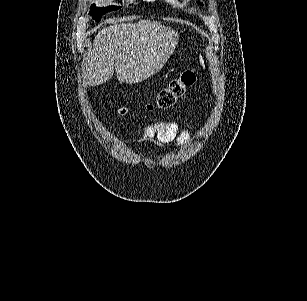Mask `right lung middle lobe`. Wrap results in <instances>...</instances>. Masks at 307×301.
<instances>
[{"label": "right lung middle lobe", "instance_id": "1", "mask_svg": "<svg viewBox=\"0 0 307 301\" xmlns=\"http://www.w3.org/2000/svg\"><path fill=\"white\" fill-rule=\"evenodd\" d=\"M119 7L116 6H109V7H103V8H96L95 5H91L90 7V13L92 14V17L97 22L100 21L101 16L109 11L117 10Z\"/></svg>", "mask_w": 307, "mask_h": 301}]
</instances>
